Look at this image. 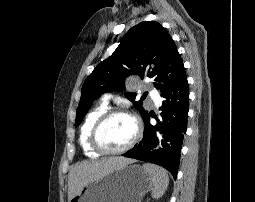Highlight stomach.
I'll return each instance as SVG.
<instances>
[{
  "mask_svg": "<svg viewBox=\"0 0 255 202\" xmlns=\"http://www.w3.org/2000/svg\"><path fill=\"white\" fill-rule=\"evenodd\" d=\"M152 189V177L143 167L126 165L89 182L69 202H141Z\"/></svg>",
  "mask_w": 255,
  "mask_h": 202,
  "instance_id": "obj_1",
  "label": "stomach"
}]
</instances>
